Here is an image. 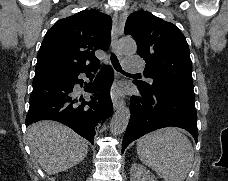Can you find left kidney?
Wrapping results in <instances>:
<instances>
[{
	"instance_id": "obj_1",
	"label": "left kidney",
	"mask_w": 228,
	"mask_h": 181,
	"mask_svg": "<svg viewBox=\"0 0 228 181\" xmlns=\"http://www.w3.org/2000/svg\"><path fill=\"white\" fill-rule=\"evenodd\" d=\"M130 181H156V177L143 165L134 163L130 169Z\"/></svg>"
}]
</instances>
